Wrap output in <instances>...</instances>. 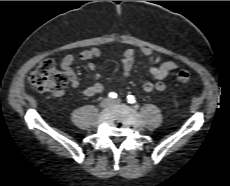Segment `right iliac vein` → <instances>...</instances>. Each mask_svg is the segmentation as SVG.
Instances as JSON below:
<instances>
[{"label":"right iliac vein","instance_id":"63e3f726","mask_svg":"<svg viewBox=\"0 0 230 186\" xmlns=\"http://www.w3.org/2000/svg\"><path fill=\"white\" fill-rule=\"evenodd\" d=\"M102 108H107L111 105V100L109 98H105L100 103Z\"/></svg>","mask_w":230,"mask_h":186}]
</instances>
